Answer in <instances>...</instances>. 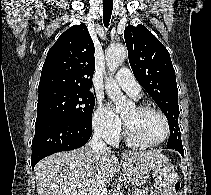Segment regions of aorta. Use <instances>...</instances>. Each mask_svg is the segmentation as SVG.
Here are the masks:
<instances>
[{
    "label": "aorta",
    "mask_w": 211,
    "mask_h": 195,
    "mask_svg": "<svg viewBox=\"0 0 211 195\" xmlns=\"http://www.w3.org/2000/svg\"><path fill=\"white\" fill-rule=\"evenodd\" d=\"M126 56L127 48L124 45L116 44L111 46L105 54L108 70L111 73H114L115 70L118 69V67L123 63ZM105 89L107 95L113 100L117 112H121L122 110L133 105V103L122 94L119 86L111 78L106 80Z\"/></svg>",
    "instance_id": "762f6f07"
}]
</instances>
